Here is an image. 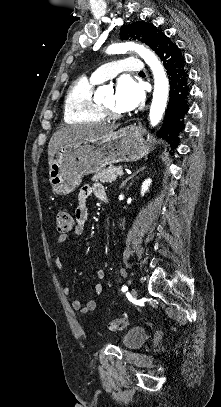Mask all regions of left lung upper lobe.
<instances>
[{
	"instance_id": "left-lung-upper-lobe-1",
	"label": "left lung upper lobe",
	"mask_w": 221,
	"mask_h": 407,
	"mask_svg": "<svg viewBox=\"0 0 221 407\" xmlns=\"http://www.w3.org/2000/svg\"><path fill=\"white\" fill-rule=\"evenodd\" d=\"M120 35L122 40L138 39L142 41L157 54L160 40L164 34L153 24L138 21L122 26Z\"/></svg>"
}]
</instances>
